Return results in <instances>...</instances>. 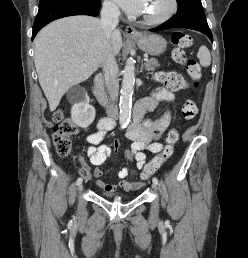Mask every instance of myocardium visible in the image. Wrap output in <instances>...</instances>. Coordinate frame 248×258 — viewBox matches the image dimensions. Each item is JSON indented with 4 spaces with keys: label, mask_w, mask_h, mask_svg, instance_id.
Segmentation results:
<instances>
[{
    "label": "myocardium",
    "mask_w": 248,
    "mask_h": 258,
    "mask_svg": "<svg viewBox=\"0 0 248 258\" xmlns=\"http://www.w3.org/2000/svg\"><path fill=\"white\" fill-rule=\"evenodd\" d=\"M177 9H178V0H170L169 8L161 16L155 17V18L143 17L142 20L144 23L148 25H160L167 22L169 19H171L173 15L176 13Z\"/></svg>",
    "instance_id": "myocardium-1"
}]
</instances>
